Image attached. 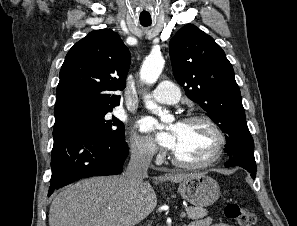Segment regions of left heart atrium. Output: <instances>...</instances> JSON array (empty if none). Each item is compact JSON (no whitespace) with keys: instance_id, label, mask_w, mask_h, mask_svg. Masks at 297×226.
I'll list each match as a JSON object with an SVG mask.
<instances>
[{"instance_id":"39dd6f15","label":"left heart atrium","mask_w":297,"mask_h":226,"mask_svg":"<svg viewBox=\"0 0 297 226\" xmlns=\"http://www.w3.org/2000/svg\"><path fill=\"white\" fill-rule=\"evenodd\" d=\"M156 121L153 118L147 117L140 121L139 126L142 131L155 132ZM155 139L160 145L168 149H173L176 144V129L170 127L168 130L160 133H155Z\"/></svg>"}]
</instances>
